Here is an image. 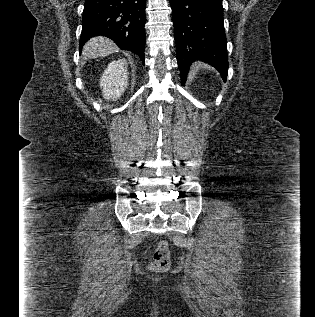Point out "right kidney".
<instances>
[{
  "label": "right kidney",
  "mask_w": 315,
  "mask_h": 317,
  "mask_svg": "<svg viewBox=\"0 0 315 317\" xmlns=\"http://www.w3.org/2000/svg\"><path fill=\"white\" fill-rule=\"evenodd\" d=\"M128 86L127 61L119 59L112 61L100 78L103 97L107 100H117Z\"/></svg>",
  "instance_id": "obj_1"
}]
</instances>
